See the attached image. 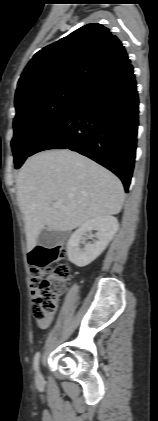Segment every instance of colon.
I'll list each match as a JSON object with an SVG mask.
<instances>
[{
  "label": "colon",
  "mask_w": 158,
  "mask_h": 421,
  "mask_svg": "<svg viewBox=\"0 0 158 421\" xmlns=\"http://www.w3.org/2000/svg\"><path fill=\"white\" fill-rule=\"evenodd\" d=\"M63 253L62 245L37 246L28 255L32 313L37 320L52 317L57 310L58 298L69 277V269L64 264L52 268L51 264Z\"/></svg>",
  "instance_id": "colon-1"
}]
</instances>
